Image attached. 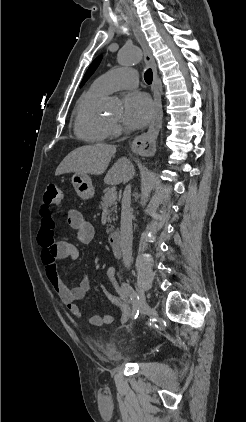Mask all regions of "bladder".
<instances>
[{
	"label": "bladder",
	"instance_id": "1",
	"mask_svg": "<svg viewBox=\"0 0 246 422\" xmlns=\"http://www.w3.org/2000/svg\"><path fill=\"white\" fill-rule=\"evenodd\" d=\"M109 358L124 357L134 352V347L130 345L109 344L103 348Z\"/></svg>",
	"mask_w": 246,
	"mask_h": 422
}]
</instances>
